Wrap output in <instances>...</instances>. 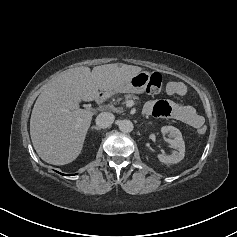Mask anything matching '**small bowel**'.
Instances as JSON below:
<instances>
[{"mask_svg":"<svg viewBox=\"0 0 237 237\" xmlns=\"http://www.w3.org/2000/svg\"><path fill=\"white\" fill-rule=\"evenodd\" d=\"M166 92L170 95L184 96L187 93V87L180 81H171L167 84ZM143 112L155 117H172L196 129L204 124L203 117L193 106L166 100L147 102Z\"/></svg>","mask_w":237,"mask_h":237,"instance_id":"obj_1","label":"small bowel"}]
</instances>
